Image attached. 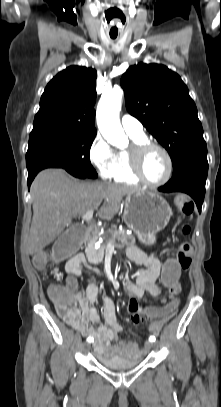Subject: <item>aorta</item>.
<instances>
[{"mask_svg": "<svg viewBox=\"0 0 221 407\" xmlns=\"http://www.w3.org/2000/svg\"><path fill=\"white\" fill-rule=\"evenodd\" d=\"M122 97V89L114 88L102 94L97 106L98 128L107 142L113 146H121L126 142V136L119 120Z\"/></svg>", "mask_w": 221, "mask_h": 407, "instance_id": "762f6f07", "label": "aorta"}]
</instances>
